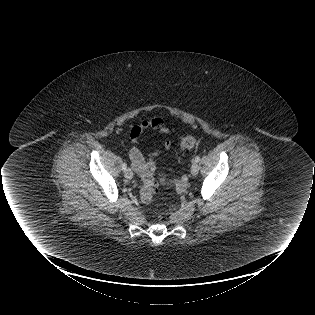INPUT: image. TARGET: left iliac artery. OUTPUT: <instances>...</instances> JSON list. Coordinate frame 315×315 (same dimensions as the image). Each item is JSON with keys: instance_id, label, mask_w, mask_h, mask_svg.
I'll return each instance as SVG.
<instances>
[{"instance_id": "obj_1", "label": "left iliac artery", "mask_w": 315, "mask_h": 315, "mask_svg": "<svg viewBox=\"0 0 315 315\" xmlns=\"http://www.w3.org/2000/svg\"><path fill=\"white\" fill-rule=\"evenodd\" d=\"M200 161V156H197L196 158H195V162H199Z\"/></svg>"}]
</instances>
